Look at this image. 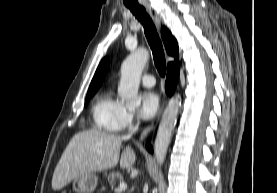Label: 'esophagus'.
I'll return each mask as SVG.
<instances>
[{
    "mask_svg": "<svg viewBox=\"0 0 277 193\" xmlns=\"http://www.w3.org/2000/svg\"><path fill=\"white\" fill-rule=\"evenodd\" d=\"M145 9L147 10L148 14L150 15V17L152 18V20L154 21L156 27L158 30H160L161 27V18L160 16L157 14V12L151 7V5L149 3H145L144 4ZM166 105V97L163 98L160 108L158 110V113L156 115V118L154 119V121L149 124L141 133L140 135V140H143L151 131H153L155 129V127L157 126L161 115L163 113V110L165 108Z\"/></svg>",
    "mask_w": 277,
    "mask_h": 193,
    "instance_id": "1",
    "label": "esophagus"
}]
</instances>
